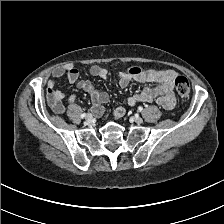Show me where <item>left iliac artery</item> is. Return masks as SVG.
Segmentation results:
<instances>
[{
  "label": "left iliac artery",
  "mask_w": 224,
  "mask_h": 224,
  "mask_svg": "<svg viewBox=\"0 0 224 224\" xmlns=\"http://www.w3.org/2000/svg\"><path fill=\"white\" fill-rule=\"evenodd\" d=\"M143 108L141 106L138 107V111L142 112Z\"/></svg>",
  "instance_id": "obj_1"
}]
</instances>
